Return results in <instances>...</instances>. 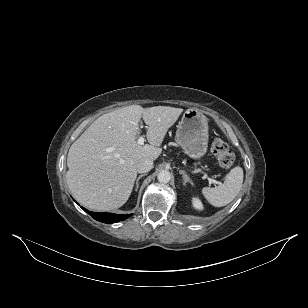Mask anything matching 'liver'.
I'll return each mask as SVG.
<instances>
[{"mask_svg":"<svg viewBox=\"0 0 308 308\" xmlns=\"http://www.w3.org/2000/svg\"><path fill=\"white\" fill-rule=\"evenodd\" d=\"M182 108L130 105L97 118L71 145L66 181L74 198L88 209L107 211L124 205L143 158L156 160L168 129ZM143 118L149 144L139 145Z\"/></svg>","mask_w":308,"mask_h":308,"instance_id":"obj_1","label":"liver"}]
</instances>
